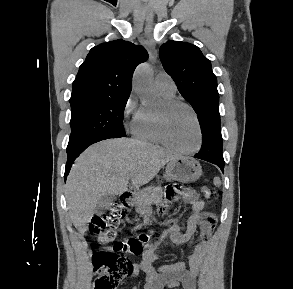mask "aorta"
Here are the masks:
<instances>
[{
  "label": "aorta",
  "mask_w": 293,
  "mask_h": 289,
  "mask_svg": "<svg viewBox=\"0 0 293 289\" xmlns=\"http://www.w3.org/2000/svg\"><path fill=\"white\" fill-rule=\"evenodd\" d=\"M133 88L139 93L144 105L156 103L158 95L153 86V72L148 64H141L135 70L133 76Z\"/></svg>",
  "instance_id": "762f6f07"
}]
</instances>
